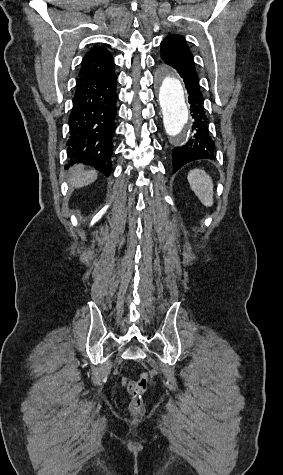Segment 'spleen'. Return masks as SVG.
Here are the masks:
<instances>
[{"mask_svg":"<svg viewBox=\"0 0 283 475\" xmlns=\"http://www.w3.org/2000/svg\"><path fill=\"white\" fill-rule=\"evenodd\" d=\"M187 180L203 206H213V182L204 170H190Z\"/></svg>","mask_w":283,"mask_h":475,"instance_id":"3e777b00","label":"spleen"}]
</instances>
